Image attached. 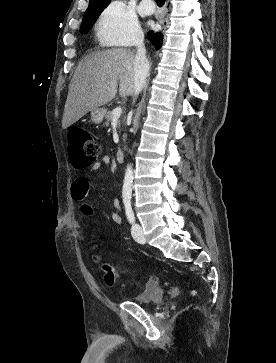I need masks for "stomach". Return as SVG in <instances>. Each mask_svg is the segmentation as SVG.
<instances>
[{
    "label": "stomach",
    "instance_id": "obj_1",
    "mask_svg": "<svg viewBox=\"0 0 276 363\" xmlns=\"http://www.w3.org/2000/svg\"><path fill=\"white\" fill-rule=\"evenodd\" d=\"M106 114V109L98 107L91 111V121L95 124H100Z\"/></svg>",
    "mask_w": 276,
    "mask_h": 363
}]
</instances>
